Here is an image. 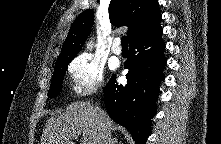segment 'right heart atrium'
Listing matches in <instances>:
<instances>
[{"label": "right heart atrium", "mask_w": 221, "mask_h": 144, "mask_svg": "<svg viewBox=\"0 0 221 144\" xmlns=\"http://www.w3.org/2000/svg\"><path fill=\"white\" fill-rule=\"evenodd\" d=\"M69 75L76 94L89 96L104 84V67L90 54H80L69 64Z\"/></svg>", "instance_id": "right-heart-atrium-1"}]
</instances>
